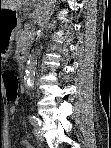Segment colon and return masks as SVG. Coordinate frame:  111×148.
<instances>
[{
	"label": "colon",
	"instance_id": "obj_1",
	"mask_svg": "<svg viewBox=\"0 0 111 148\" xmlns=\"http://www.w3.org/2000/svg\"><path fill=\"white\" fill-rule=\"evenodd\" d=\"M0 81L5 89V96L9 101H16L19 97L18 77L9 70H0Z\"/></svg>",
	"mask_w": 111,
	"mask_h": 148
}]
</instances>
